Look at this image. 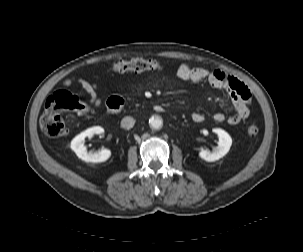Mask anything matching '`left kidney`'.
I'll list each match as a JSON object with an SVG mask.
<instances>
[{
	"label": "left kidney",
	"instance_id": "1",
	"mask_svg": "<svg viewBox=\"0 0 303 252\" xmlns=\"http://www.w3.org/2000/svg\"><path fill=\"white\" fill-rule=\"evenodd\" d=\"M212 131L219 137L218 146L212 152L207 150H201L199 152V157L208 162L219 160L225 156L232 145V138L225 130L213 128Z\"/></svg>",
	"mask_w": 303,
	"mask_h": 252
}]
</instances>
